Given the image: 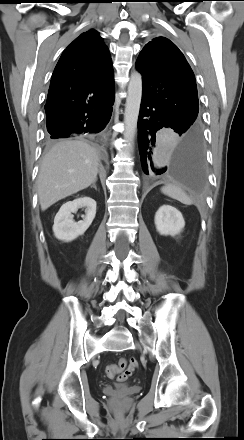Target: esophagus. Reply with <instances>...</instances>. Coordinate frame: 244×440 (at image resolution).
<instances>
[{"label":"esophagus","instance_id":"esophagus-1","mask_svg":"<svg viewBox=\"0 0 244 440\" xmlns=\"http://www.w3.org/2000/svg\"><path fill=\"white\" fill-rule=\"evenodd\" d=\"M109 135H110V133L108 132V133H107V136H109Z\"/></svg>","mask_w":244,"mask_h":440}]
</instances>
